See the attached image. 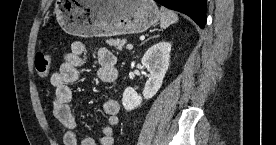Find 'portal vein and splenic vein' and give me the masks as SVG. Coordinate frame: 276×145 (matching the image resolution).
Wrapping results in <instances>:
<instances>
[{"label":"portal vein and splenic vein","instance_id":"1","mask_svg":"<svg viewBox=\"0 0 276 145\" xmlns=\"http://www.w3.org/2000/svg\"><path fill=\"white\" fill-rule=\"evenodd\" d=\"M126 48H127L128 50H132V49H133V45L127 44Z\"/></svg>","mask_w":276,"mask_h":145}]
</instances>
